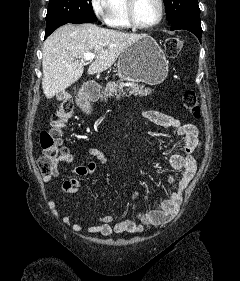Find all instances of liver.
<instances>
[{"label":"liver","instance_id":"liver-1","mask_svg":"<svg viewBox=\"0 0 240 281\" xmlns=\"http://www.w3.org/2000/svg\"><path fill=\"white\" fill-rule=\"evenodd\" d=\"M145 34L104 29L94 24H67L54 31L44 42L42 89L50 99L76 82L83 74L81 62L92 51L95 60L88 74L109 69L121 53Z\"/></svg>","mask_w":240,"mask_h":281}]
</instances>
